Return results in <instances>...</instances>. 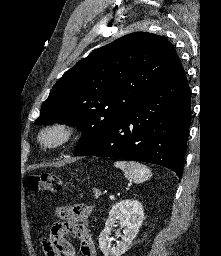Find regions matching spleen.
Here are the masks:
<instances>
[{
  "label": "spleen",
  "mask_w": 221,
  "mask_h": 256,
  "mask_svg": "<svg viewBox=\"0 0 221 256\" xmlns=\"http://www.w3.org/2000/svg\"><path fill=\"white\" fill-rule=\"evenodd\" d=\"M114 166L121 169L125 177L134 183H143L152 176L151 170L138 162L116 161Z\"/></svg>",
  "instance_id": "1"
}]
</instances>
